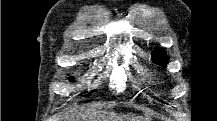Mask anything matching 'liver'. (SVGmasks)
Segmentation results:
<instances>
[{"mask_svg": "<svg viewBox=\"0 0 217 121\" xmlns=\"http://www.w3.org/2000/svg\"><path fill=\"white\" fill-rule=\"evenodd\" d=\"M82 119V121H100V116L95 111L85 110Z\"/></svg>", "mask_w": 217, "mask_h": 121, "instance_id": "6515ba94", "label": "liver"}]
</instances>
